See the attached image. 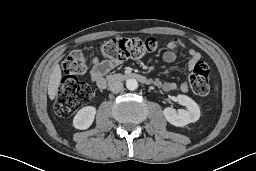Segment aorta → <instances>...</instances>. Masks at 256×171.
I'll use <instances>...</instances> for the list:
<instances>
[{"instance_id": "762f6f07", "label": "aorta", "mask_w": 256, "mask_h": 171, "mask_svg": "<svg viewBox=\"0 0 256 171\" xmlns=\"http://www.w3.org/2000/svg\"><path fill=\"white\" fill-rule=\"evenodd\" d=\"M126 87L128 90H131V91L137 89V87H138L137 80L136 79H128L126 81Z\"/></svg>"}]
</instances>
